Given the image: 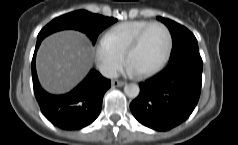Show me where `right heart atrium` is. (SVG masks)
I'll return each mask as SVG.
<instances>
[{
    "label": "right heart atrium",
    "instance_id": "1",
    "mask_svg": "<svg viewBox=\"0 0 238 145\" xmlns=\"http://www.w3.org/2000/svg\"><path fill=\"white\" fill-rule=\"evenodd\" d=\"M124 61V55L106 43L103 38L95 45V62L106 77H113Z\"/></svg>",
    "mask_w": 238,
    "mask_h": 145
}]
</instances>
